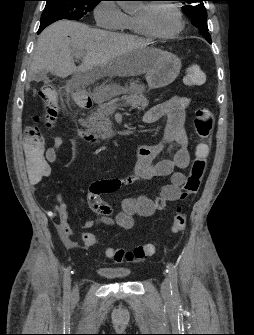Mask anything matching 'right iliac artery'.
I'll list each match as a JSON object with an SVG mask.
<instances>
[{
    "label": "right iliac artery",
    "instance_id": "1",
    "mask_svg": "<svg viewBox=\"0 0 254 335\" xmlns=\"http://www.w3.org/2000/svg\"><path fill=\"white\" fill-rule=\"evenodd\" d=\"M64 284H65V301L69 300V290H70V267H68L65 271V278H64Z\"/></svg>",
    "mask_w": 254,
    "mask_h": 335
}]
</instances>
